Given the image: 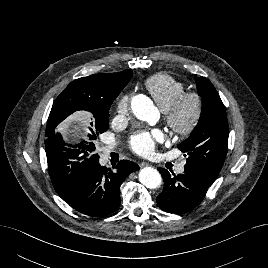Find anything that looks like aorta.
Returning <instances> with one entry per match:
<instances>
[{"label":"aorta","mask_w":268,"mask_h":268,"mask_svg":"<svg viewBox=\"0 0 268 268\" xmlns=\"http://www.w3.org/2000/svg\"><path fill=\"white\" fill-rule=\"evenodd\" d=\"M131 108L134 115L149 124H155L159 118V111L153 102L145 95H137L132 98ZM139 181L149 189L160 186L162 178L160 173L152 167H144L139 172Z\"/></svg>","instance_id":"762f6f07"}]
</instances>
